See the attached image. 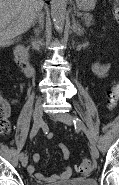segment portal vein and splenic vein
<instances>
[{
    "instance_id": "obj_1",
    "label": "portal vein and splenic vein",
    "mask_w": 119,
    "mask_h": 185,
    "mask_svg": "<svg viewBox=\"0 0 119 185\" xmlns=\"http://www.w3.org/2000/svg\"><path fill=\"white\" fill-rule=\"evenodd\" d=\"M82 14L81 13H78V16H81Z\"/></svg>"
}]
</instances>
